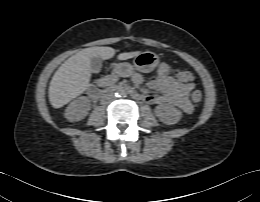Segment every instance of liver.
I'll return each mask as SVG.
<instances>
[{"mask_svg":"<svg viewBox=\"0 0 260 202\" xmlns=\"http://www.w3.org/2000/svg\"><path fill=\"white\" fill-rule=\"evenodd\" d=\"M140 51L121 53L120 60L136 57ZM115 49L111 47H90L68 58L55 72L50 82L48 96L52 107L58 109L86 91L90 78V61L99 56L106 60L114 56Z\"/></svg>","mask_w":260,"mask_h":202,"instance_id":"6515ba94","label":"liver"}]
</instances>
